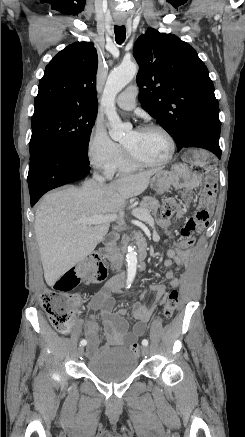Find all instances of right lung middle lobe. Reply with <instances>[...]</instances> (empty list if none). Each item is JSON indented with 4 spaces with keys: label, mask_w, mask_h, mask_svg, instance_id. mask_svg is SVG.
Returning a JSON list of instances; mask_svg holds the SVG:
<instances>
[{
    "label": "right lung middle lobe",
    "mask_w": 245,
    "mask_h": 437,
    "mask_svg": "<svg viewBox=\"0 0 245 437\" xmlns=\"http://www.w3.org/2000/svg\"><path fill=\"white\" fill-rule=\"evenodd\" d=\"M96 116V109L61 103L35 106L31 121L30 158L46 147L71 155L86 156Z\"/></svg>",
    "instance_id": "dd1d6c3e"
}]
</instances>
